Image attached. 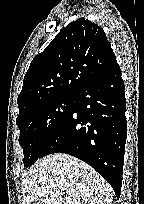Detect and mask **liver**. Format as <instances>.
<instances>
[{"label": "liver", "mask_w": 144, "mask_h": 204, "mask_svg": "<svg viewBox=\"0 0 144 204\" xmlns=\"http://www.w3.org/2000/svg\"><path fill=\"white\" fill-rule=\"evenodd\" d=\"M23 204H112L113 189L91 166L63 153L37 161L21 177ZM54 192L51 196L50 193Z\"/></svg>", "instance_id": "obj_1"}]
</instances>
